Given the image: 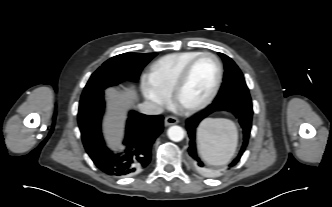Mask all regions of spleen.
<instances>
[{
  "label": "spleen",
  "mask_w": 332,
  "mask_h": 207,
  "mask_svg": "<svg viewBox=\"0 0 332 207\" xmlns=\"http://www.w3.org/2000/svg\"><path fill=\"white\" fill-rule=\"evenodd\" d=\"M198 150L211 165H224L233 157L238 133L235 124L228 119L209 118L198 128Z\"/></svg>",
  "instance_id": "1"
}]
</instances>
